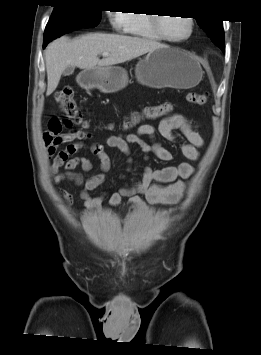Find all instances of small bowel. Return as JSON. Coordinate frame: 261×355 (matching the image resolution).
I'll use <instances>...</instances> for the list:
<instances>
[{
	"label": "small bowel",
	"instance_id": "c3829d8e",
	"mask_svg": "<svg viewBox=\"0 0 261 355\" xmlns=\"http://www.w3.org/2000/svg\"><path fill=\"white\" fill-rule=\"evenodd\" d=\"M62 126V124H61ZM61 130V129H60ZM49 130L42 135L46 155L52 159L50 171L55 185L63 182L72 183L80 187V198L84 202L83 216L101 213L102 204L108 198L109 205L116 207L122 199L127 197L132 207L147 211L150 205L172 206L179 203L184 197L186 180L191 177L194 168L190 163H181L175 166L154 168L146 165L142 169L141 181L135 185L122 187L112 192H105L99 196H91V192L102 185L106 174L111 169V160L106 153L105 146L117 149L127 159V171L130 172L133 163L131 145H136L145 160L154 155L161 161H171L173 154L157 139V134L173 143L181 154L190 161L199 158L198 148L203 145V139L193 125L179 113L164 118L157 128L151 125H142L136 133L127 135H112L106 138L105 143H89L91 134L82 130H70L65 133ZM149 137L147 142L143 137ZM61 146H65L60 149ZM80 150H88L99 160V172L85 179L75 170L81 168L83 172H91L94 164L85 157H74ZM63 168V172L59 169ZM156 182L165 183L157 185ZM57 193L67 205L73 203V196L62 188ZM174 209L164 211L163 215L173 213Z\"/></svg>",
	"mask_w": 261,
	"mask_h": 355
}]
</instances>
